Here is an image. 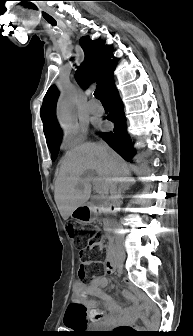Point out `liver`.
<instances>
[{
    "label": "liver",
    "mask_w": 193,
    "mask_h": 336,
    "mask_svg": "<svg viewBox=\"0 0 193 336\" xmlns=\"http://www.w3.org/2000/svg\"><path fill=\"white\" fill-rule=\"evenodd\" d=\"M95 171L97 191L108 196L113 187L126 185L131 180L127 163L110 147L102 150L97 143H83L66 152L60 162L55 181L54 199L64 220L72 212L86 205L91 196V178H83L87 171ZM121 188H119L120 190Z\"/></svg>",
    "instance_id": "liver-1"
}]
</instances>
